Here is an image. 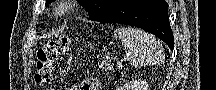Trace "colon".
I'll use <instances>...</instances> for the list:
<instances>
[{"label": "colon", "instance_id": "5ec220e1", "mask_svg": "<svg viewBox=\"0 0 216 90\" xmlns=\"http://www.w3.org/2000/svg\"><path fill=\"white\" fill-rule=\"evenodd\" d=\"M68 44V37L61 36L47 41L37 49L36 72L34 76L37 84H44L50 81L54 60L67 49Z\"/></svg>", "mask_w": 216, "mask_h": 90}]
</instances>
